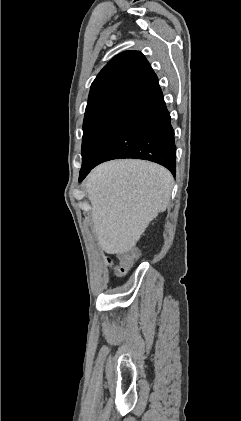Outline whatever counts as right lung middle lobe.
Masks as SVG:
<instances>
[{
	"label": "right lung middle lobe",
	"mask_w": 241,
	"mask_h": 421,
	"mask_svg": "<svg viewBox=\"0 0 241 421\" xmlns=\"http://www.w3.org/2000/svg\"><path fill=\"white\" fill-rule=\"evenodd\" d=\"M131 102L113 104L85 115L83 122L82 167H91L110 142L122 121Z\"/></svg>",
	"instance_id": "1"
}]
</instances>
